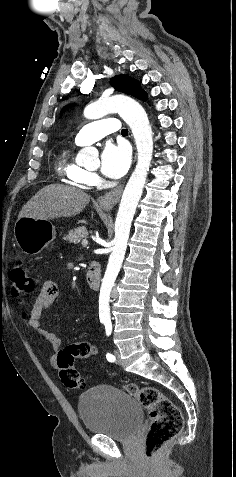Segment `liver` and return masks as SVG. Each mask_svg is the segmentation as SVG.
Instances as JSON below:
<instances>
[{
    "label": "liver",
    "mask_w": 236,
    "mask_h": 477,
    "mask_svg": "<svg viewBox=\"0 0 236 477\" xmlns=\"http://www.w3.org/2000/svg\"><path fill=\"white\" fill-rule=\"evenodd\" d=\"M90 197L80 189L51 184L39 190L22 208L18 219H54L78 215L88 205Z\"/></svg>",
    "instance_id": "1"
}]
</instances>
